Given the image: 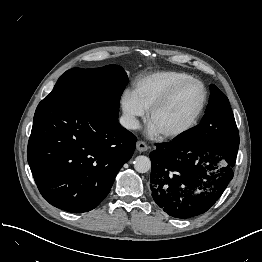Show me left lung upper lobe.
I'll return each instance as SVG.
<instances>
[{"label":"left lung upper lobe","mask_w":262,"mask_h":262,"mask_svg":"<svg viewBox=\"0 0 262 262\" xmlns=\"http://www.w3.org/2000/svg\"><path fill=\"white\" fill-rule=\"evenodd\" d=\"M209 104L201 123L177 138L184 141L207 143L223 134H238V129L228 98L215 85L210 86Z\"/></svg>","instance_id":"left-lung-upper-lobe-1"}]
</instances>
